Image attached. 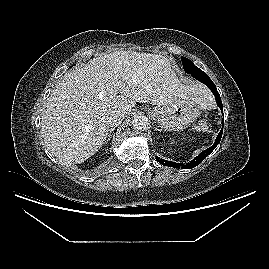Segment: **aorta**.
Listing matches in <instances>:
<instances>
[{
	"mask_svg": "<svg viewBox=\"0 0 269 269\" xmlns=\"http://www.w3.org/2000/svg\"><path fill=\"white\" fill-rule=\"evenodd\" d=\"M149 121L148 118L144 115L134 116L132 119V127L137 131H145L148 129Z\"/></svg>",
	"mask_w": 269,
	"mask_h": 269,
	"instance_id": "762f6f07",
	"label": "aorta"
}]
</instances>
